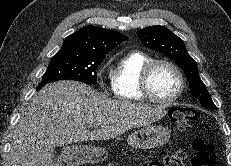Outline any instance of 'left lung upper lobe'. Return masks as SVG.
<instances>
[{
    "label": "left lung upper lobe",
    "mask_w": 231,
    "mask_h": 166,
    "mask_svg": "<svg viewBox=\"0 0 231 166\" xmlns=\"http://www.w3.org/2000/svg\"><path fill=\"white\" fill-rule=\"evenodd\" d=\"M137 35L145 46L165 54L184 71L193 97L197 98L203 106L217 109L206 86L200 79L196 61L186 51V46L181 38L160 25L141 29Z\"/></svg>",
    "instance_id": "left-lung-upper-lobe-1"
}]
</instances>
